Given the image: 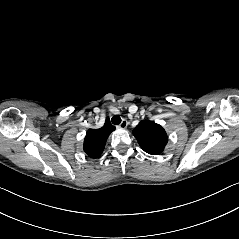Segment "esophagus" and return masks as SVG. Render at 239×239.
<instances>
[{
	"mask_svg": "<svg viewBox=\"0 0 239 239\" xmlns=\"http://www.w3.org/2000/svg\"><path fill=\"white\" fill-rule=\"evenodd\" d=\"M127 125H128L127 120L123 119L118 127L121 128V129H125L127 127Z\"/></svg>",
	"mask_w": 239,
	"mask_h": 239,
	"instance_id": "34e87169",
	"label": "esophagus"
}]
</instances>
